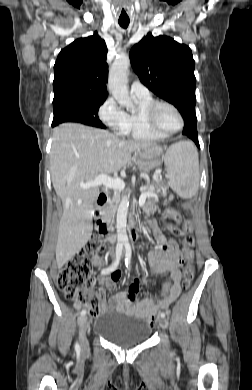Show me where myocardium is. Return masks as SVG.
I'll return each instance as SVG.
<instances>
[{
    "instance_id": "myocardium-1",
    "label": "myocardium",
    "mask_w": 252,
    "mask_h": 390,
    "mask_svg": "<svg viewBox=\"0 0 252 390\" xmlns=\"http://www.w3.org/2000/svg\"><path fill=\"white\" fill-rule=\"evenodd\" d=\"M161 106H167L169 108H171L177 115L178 119H179V126L174 129V130H164L162 129L158 123H157V120H156V114L159 110V108ZM144 120H145V123L147 125V127L157 133V134H161V135H164V136H169V135H173L175 133H177L178 131H180L183 126H184V118L180 112V110L172 103L170 102H167V101H154L144 112Z\"/></svg>"
}]
</instances>
